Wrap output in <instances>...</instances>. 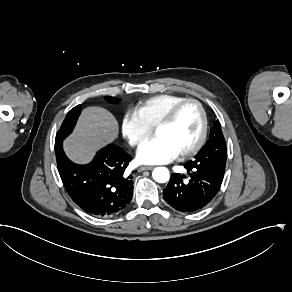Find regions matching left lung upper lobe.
Returning <instances> with one entry per match:
<instances>
[{"mask_svg": "<svg viewBox=\"0 0 292 292\" xmlns=\"http://www.w3.org/2000/svg\"><path fill=\"white\" fill-rule=\"evenodd\" d=\"M227 159L226 142L219 121L213 122L209 140L194 157L195 164L203 169L225 170Z\"/></svg>", "mask_w": 292, "mask_h": 292, "instance_id": "5c2ea615", "label": "left lung upper lobe"}]
</instances>
